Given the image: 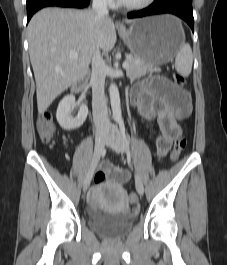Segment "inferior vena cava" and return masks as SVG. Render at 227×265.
I'll use <instances>...</instances> for the list:
<instances>
[{
	"instance_id": "1",
	"label": "inferior vena cava",
	"mask_w": 227,
	"mask_h": 265,
	"mask_svg": "<svg viewBox=\"0 0 227 265\" xmlns=\"http://www.w3.org/2000/svg\"><path fill=\"white\" fill-rule=\"evenodd\" d=\"M92 10L98 17L108 18L107 0H93ZM92 113L97 133L106 132L110 128L104 85L106 77V65L97 49L92 57Z\"/></svg>"
}]
</instances>
